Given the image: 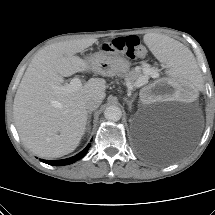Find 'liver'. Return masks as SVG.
Here are the masks:
<instances>
[{
  "mask_svg": "<svg viewBox=\"0 0 215 215\" xmlns=\"http://www.w3.org/2000/svg\"><path fill=\"white\" fill-rule=\"evenodd\" d=\"M97 42L95 38L66 40L39 50L17 89L13 115L24 146L41 158H58L73 152L86 130V102L104 100L106 81L91 78L78 90L59 93L63 77L88 72L89 62L77 56Z\"/></svg>",
  "mask_w": 215,
  "mask_h": 215,
  "instance_id": "6515ba94",
  "label": "liver"
}]
</instances>
